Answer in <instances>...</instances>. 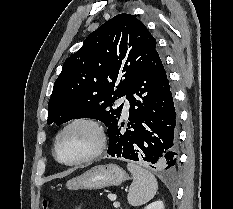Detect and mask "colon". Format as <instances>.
Wrapping results in <instances>:
<instances>
[{"label":"colon","instance_id":"1","mask_svg":"<svg viewBox=\"0 0 233 209\" xmlns=\"http://www.w3.org/2000/svg\"><path fill=\"white\" fill-rule=\"evenodd\" d=\"M43 207H44V209H47V207H48V202H47V200H43Z\"/></svg>","mask_w":233,"mask_h":209}]
</instances>
